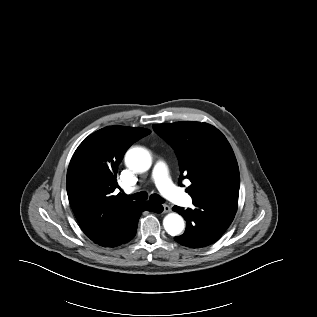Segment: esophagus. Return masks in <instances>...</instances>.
Instances as JSON below:
<instances>
[{"label": "esophagus", "instance_id": "1", "mask_svg": "<svg viewBox=\"0 0 317 317\" xmlns=\"http://www.w3.org/2000/svg\"><path fill=\"white\" fill-rule=\"evenodd\" d=\"M170 210H171L170 206H168L167 204L163 205V212L164 213H168V212H170Z\"/></svg>", "mask_w": 317, "mask_h": 317}]
</instances>
